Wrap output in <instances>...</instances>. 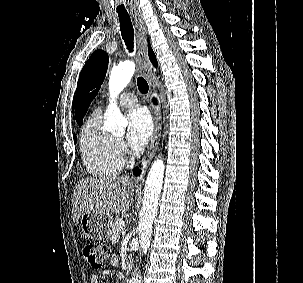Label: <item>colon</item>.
Segmentation results:
<instances>
[{
  "instance_id": "obj_1",
  "label": "colon",
  "mask_w": 303,
  "mask_h": 283,
  "mask_svg": "<svg viewBox=\"0 0 303 283\" xmlns=\"http://www.w3.org/2000/svg\"><path fill=\"white\" fill-rule=\"evenodd\" d=\"M109 255L110 248L104 243L87 242L82 247L83 259L94 269L100 268Z\"/></svg>"
}]
</instances>
